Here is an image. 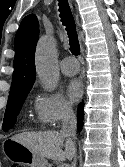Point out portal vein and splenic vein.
I'll return each mask as SVG.
<instances>
[{
  "mask_svg": "<svg viewBox=\"0 0 125 167\" xmlns=\"http://www.w3.org/2000/svg\"><path fill=\"white\" fill-rule=\"evenodd\" d=\"M60 167H68L67 164H62Z\"/></svg>",
  "mask_w": 125,
  "mask_h": 167,
  "instance_id": "1",
  "label": "portal vein and splenic vein"
}]
</instances>
